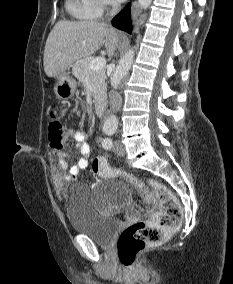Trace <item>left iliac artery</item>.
Listing matches in <instances>:
<instances>
[{
  "label": "left iliac artery",
  "instance_id": "left-iliac-artery-1",
  "mask_svg": "<svg viewBox=\"0 0 233 284\" xmlns=\"http://www.w3.org/2000/svg\"><path fill=\"white\" fill-rule=\"evenodd\" d=\"M114 133H115V130H113V129H110V130L106 131V134L109 135V136L114 135ZM102 146H103L104 149H111L112 146H113L112 139L111 138H105L102 141Z\"/></svg>",
  "mask_w": 233,
  "mask_h": 284
}]
</instances>
